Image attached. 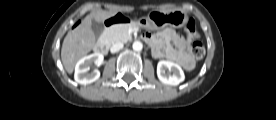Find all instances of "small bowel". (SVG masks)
<instances>
[{
    "instance_id": "obj_1",
    "label": "small bowel",
    "mask_w": 276,
    "mask_h": 120,
    "mask_svg": "<svg viewBox=\"0 0 276 120\" xmlns=\"http://www.w3.org/2000/svg\"><path fill=\"white\" fill-rule=\"evenodd\" d=\"M143 38L151 47L154 57L167 58L180 64L186 70L194 67L195 63L189 55L187 41L174 30L165 29L156 35L146 33Z\"/></svg>"
}]
</instances>
